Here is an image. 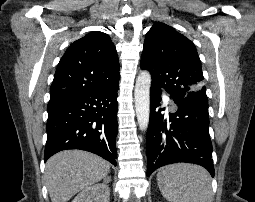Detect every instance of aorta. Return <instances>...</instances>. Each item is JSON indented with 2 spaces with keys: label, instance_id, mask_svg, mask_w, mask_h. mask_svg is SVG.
Wrapping results in <instances>:
<instances>
[{
  "label": "aorta",
  "instance_id": "762f6f07",
  "mask_svg": "<svg viewBox=\"0 0 255 202\" xmlns=\"http://www.w3.org/2000/svg\"><path fill=\"white\" fill-rule=\"evenodd\" d=\"M150 86V73L148 71H141L136 79L134 100L138 125L142 131H146L149 125Z\"/></svg>",
  "mask_w": 255,
  "mask_h": 202
}]
</instances>
